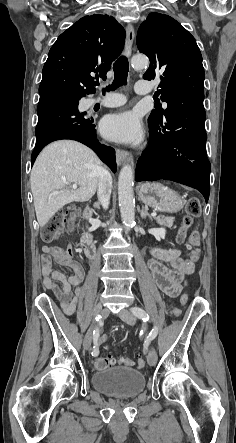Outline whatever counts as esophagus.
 <instances>
[{
	"label": "esophagus",
	"mask_w": 236,
	"mask_h": 443,
	"mask_svg": "<svg viewBox=\"0 0 236 443\" xmlns=\"http://www.w3.org/2000/svg\"><path fill=\"white\" fill-rule=\"evenodd\" d=\"M135 38L134 28L131 24L126 26V44H125V55L130 57L132 53V46ZM129 156L126 150L117 149L116 150V162L120 166Z\"/></svg>",
	"instance_id": "obj_1"
}]
</instances>
